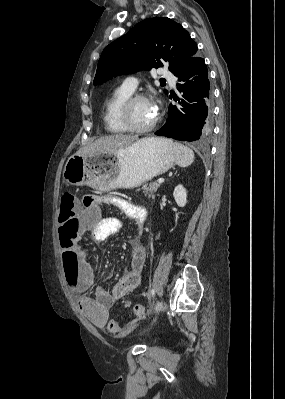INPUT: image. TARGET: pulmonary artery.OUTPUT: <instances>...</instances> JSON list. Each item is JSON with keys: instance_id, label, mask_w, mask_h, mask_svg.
<instances>
[{"instance_id": "e3ab8cb5", "label": "pulmonary artery", "mask_w": 285, "mask_h": 399, "mask_svg": "<svg viewBox=\"0 0 285 399\" xmlns=\"http://www.w3.org/2000/svg\"><path fill=\"white\" fill-rule=\"evenodd\" d=\"M162 75L165 79L169 80L172 85L175 83V78L168 70H163ZM122 87L129 90L130 92H134L138 86V80L135 77H127L122 81Z\"/></svg>"}]
</instances>
